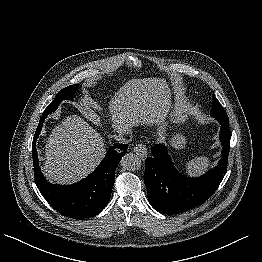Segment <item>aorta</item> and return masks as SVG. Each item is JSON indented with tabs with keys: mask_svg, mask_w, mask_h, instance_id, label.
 <instances>
[{
	"mask_svg": "<svg viewBox=\"0 0 262 262\" xmlns=\"http://www.w3.org/2000/svg\"><path fill=\"white\" fill-rule=\"evenodd\" d=\"M141 164V159L133 153H127L121 159V165L129 171L138 170L141 167Z\"/></svg>",
	"mask_w": 262,
	"mask_h": 262,
	"instance_id": "1",
	"label": "aorta"
}]
</instances>
